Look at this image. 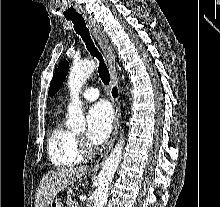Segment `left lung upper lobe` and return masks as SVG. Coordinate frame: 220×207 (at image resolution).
Masks as SVG:
<instances>
[{"mask_svg": "<svg viewBox=\"0 0 220 207\" xmlns=\"http://www.w3.org/2000/svg\"><path fill=\"white\" fill-rule=\"evenodd\" d=\"M68 67H69L68 62L63 61L55 71L49 88V96H54L61 87L67 75Z\"/></svg>", "mask_w": 220, "mask_h": 207, "instance_id": "left-lung-upper-lobe-1", "label": "left lung upper lobe"}]
</instances>
